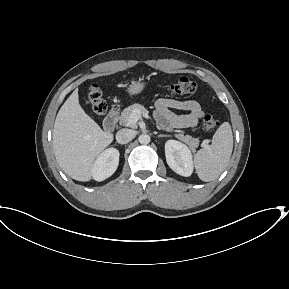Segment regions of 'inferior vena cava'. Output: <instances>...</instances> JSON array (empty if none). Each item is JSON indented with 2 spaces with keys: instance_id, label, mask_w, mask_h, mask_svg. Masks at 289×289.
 <instances>
[{
  "instance_id": "1",
  "label": "inferior vena cava",
  "mask_w": 289,
  "mask_h": 289,
  "mask_svg": "<svg viewBox=\"0 0 289 289\" xmlns=\"http://www.w3.org/2000/svg\"><path fill=\"white\" fill-rule=\"evenodd\" d=\"M133 139V131L130 129H121L116 133V141L119 144H127Z\"/></svg>"
}]
</instances>
